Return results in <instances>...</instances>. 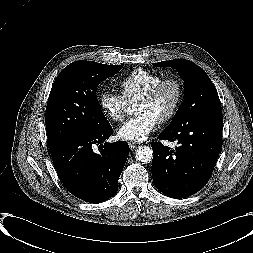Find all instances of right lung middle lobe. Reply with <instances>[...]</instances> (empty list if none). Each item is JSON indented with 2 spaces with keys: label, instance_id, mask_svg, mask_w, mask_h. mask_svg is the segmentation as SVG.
Masks as SVG:
<instances>
[{
  "label": "right lung middle lobe",
  "instance_id": "1",
  "mask_svg": "<svg viewBox=\"0 0 253 253\" xmlns=\"http://www.w3.org/2000/svg\"><path fill=\"white\" fill-rule=\"evenodd\" d=\"M122 67L81 60L59 73L46 108L49 150L74 132L98 130L109 124L99 105L96 88Z\"/></svg>",
  "mask_w": 253,
  "mask_h": 253
}]
</instances>
